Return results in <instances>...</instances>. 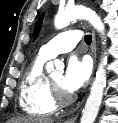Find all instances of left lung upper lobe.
<instances>
[{
    "instance_id": "obj_1",
    "label": "left lung upper lobe",
    "mask_w": 118,
    "mask_h": 123,
    "mask_svg": "<svg viewBox=\"0 0 118 123\" xmlns=\"http://www.w3.org/2000/svg\"><path fill=\"white\" fill-rule=\"evenodd\" d=\"M43 18H44V13L41 14V16L39 17L38 21L35 24V28H34V32H33L34 39L37 37V35H38L39 31H40Z\"/></svg>"
}]
</instances>
